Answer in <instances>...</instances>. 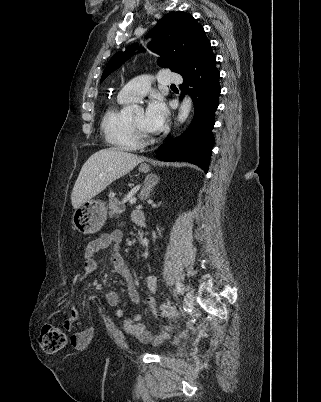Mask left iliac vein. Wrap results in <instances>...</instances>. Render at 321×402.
I'll return each instance as SVG.
<instances>
[{
  "label": "left iliac vein",
  "mask_w": 321,
  "mask_h": 402,
  "mask_svg": "<svg viewBox=\"0 0 321 402\" xmlns=\"http://www.w3.org/2000/svg\"><path fill=\"white\" fill-rule=\"evenodd\" d=\"M194 305V295L191 291H187L185 298H184V306L185 309H191Z\"/></svg>",
  "instance_id": "4c4485c4"
}]
</instances>
